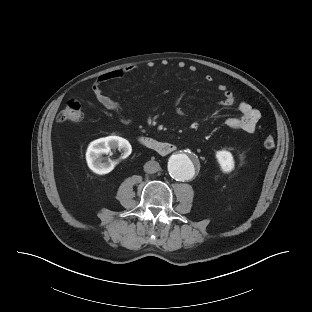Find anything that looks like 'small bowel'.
Returning a JSON list of instances; mask_svg holds the SVG:
<instances>
[{
	"instance_id": "obj_1",
	"label": "small bowel",
	"mask_w": 312,
	"mask_h": 312,
	"mask_svg": "<svg viewBox=\"0 0 312 312\" xmlns=\"http://www.w3.org/2000/svg\"><path fill=\"white\" fill-rule=\"evenodd\" d=\"M150 67L154 66L153 62L149 63ZM137 66L130 65L121 69H116L110 71L108 73H104L95 78L92 84V91L94 93L97 101L106 109L116 113L123 124L130 125L133 122V119L128 118L124 114V108L122 104L114 99H112L109 95H107L102 89V85L111 80L121 79L125 75L134 72L137 70ZM207 81H211V76H206ZM218 91L222 94V99L220 100V105L223 107H230L235 105V97L233 93L227 89L225 85H219ZM238 110L241 113L239 117H229L226 119L225 124L227 127L234 130H242L247 133H252L255 131L258 121L261 118L260 112L252 107L247 102H240L238 104ZM176 111L179 114H183L180 107H176Z\"/></svg>"
}]
</instances>
